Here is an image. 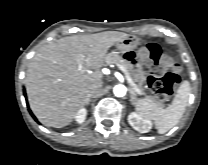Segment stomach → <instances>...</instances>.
Wrapping results in <instances>:
<instances>
[{
    "label": "stomach",
    "instance_id": "1",
    "mask_svg": "<svg viewBox=\"0 0 208 165\" xmlns=\"http://www.w3.org/2000/svg\"><path fill=\"white\" fill-rule=\"evenodd\" d=\"M139 40L135 38H125L121 41H119L116 46L118 50H120L121 53H124L125 51L134 50L138 47Z\"/></svg>",
    "mask_w": 208,
    "mask_h": 165
}]
</instances>
